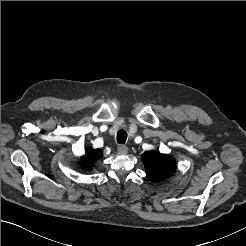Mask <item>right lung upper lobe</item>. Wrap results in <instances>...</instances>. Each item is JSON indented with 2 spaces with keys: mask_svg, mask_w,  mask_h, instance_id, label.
Here are the masks:
<instances>
[{
  "mask_svg": "<svg viewBox=\"0 0 246 246\" xmlns=\"http://www.w3.org/2000/svg\"><path fill=\"white\" fill-rule=\"evenodd\" d=\"M101 156V150L87 149L85 152V156L82 157L83 166H85L86 168L92 166V163L95 160L99 159Z\"/></svg>",
  "mask_w": 246,
  "mask_h": 246,
  "instance_id": "obj_1",
  "label": "right lung upper lobe"
}]
</instances>
